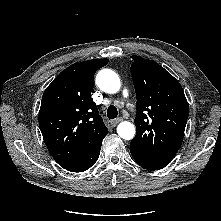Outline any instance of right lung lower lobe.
<instances>
[{"label":"right lung lower lobe","instance_id":"98d812e1","mask_svg":"<svg viewBox=\"0 0 221 221\" xmlns=\"http://www.w3.org/2000/svg\"><path fill=\"white\" fill-rule=\"evenodd\" d=\"M102 139H100L93 147L84 152L77 160L64 167L68 171L82 172L89 169L97 161L100 149L102 145Z\"/></svg>","mask_w":221,"mask_h":221}]
</instances>
